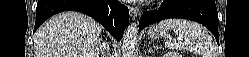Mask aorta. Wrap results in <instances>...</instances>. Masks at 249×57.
Returning a JSON list of instances; mask_svg holds the SVG:
<instances>
[{"instance_id":"1","label":"aorta","mask_w":249,"mask_h":57,"mask_svg":"<svg viewBox=\"0 0 249 57\" xmlns=\"http://www.w3.org/2000/svg\"><path fill=\"white\" fill-rule=\"evenodd\" d=\"M137 35L138 24L131 23L128 25L122 38V56L135 57L137 54Z\"/></svg>"}]
</instances>
